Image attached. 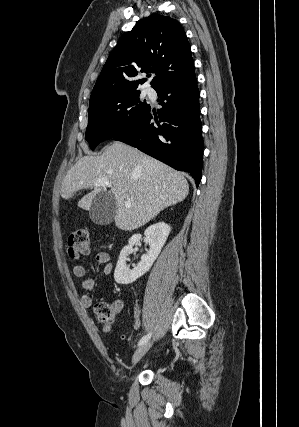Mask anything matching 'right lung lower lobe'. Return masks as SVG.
<instances>
[{"mask_svg": "<svg viewBox=\"0 0 299 427\" xmlns=\"http://www.w3.org/2000/svg\"><path fill=\"white\" fill-rule=\"evenodd\" d=\"M156 92L162 105L157 111L158 118L163 124L150 122L149 107L136 124L114 140L136 147L177 170L189 172L198 186L202 177L203 139L195 72L163 83Z\"/></svg>", "mask_w": 299, "mask_h": 427, "instance_id": "1", "label": "right lung lower lobe"}]
</instances>
